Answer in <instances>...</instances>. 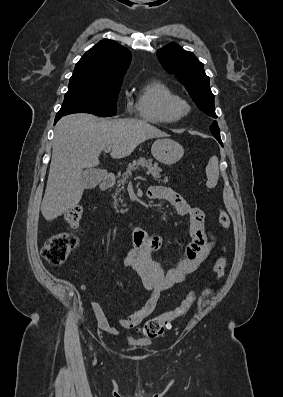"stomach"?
<instances>
[{"instance_id":"stomach-1","label":"stomach","mask_w":283,"mask_h":397,"mask_svg":"<svg viewBox=\"0 0 283 397\" xmlns=\"http://www.w3.org/2000/svg\"><path fill=\"white\" fill-rule=\"evenodd\" d=\"M151 153L159 162L165 165H172L183 157L184 148L172 139L163 138L153 143Z\"/></svg>"}]
</instances>
